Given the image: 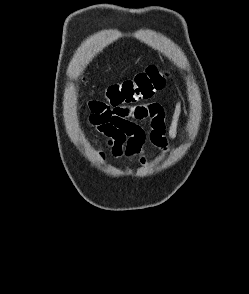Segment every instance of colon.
Wrapping results in <instances>:
<instances>
[{
    "instance_id": "colon-1",
    "label": "colon",
    "mask_w": 249,
    "mask_h": 294,
    "mask_svg": "<svg viewBox=\"0 0 249 294\" xmlns=\"http://www.w3.org/2000/svg\"><path fill=\"white\" fill-rule=\"evenodd\" d=\"M167 75L160 66L150 65L134 78L109 86L105 91V101L100 103L118 106L150 99L163 88Z\"/></svg>"
}]
</instances>
